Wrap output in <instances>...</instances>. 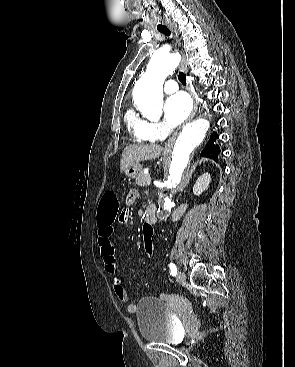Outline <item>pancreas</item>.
Wrapping results in <instances>:
<instances>
[{"mask_svg":"<svg viewBox=\"0 0 295 367\" xmlns=\"http://www.w3.org/2000/svg\"><path fill=\"white\" fill-rule=\"evenodd\" d=\"M148 178H150L149 174L141 172L139 176L136 178V184L139 186H146Z\"/></svg>","mask_w":295,"mask_h":367,"instance_id":"pancreas-1","label":"pancreas"}]
</instances>
